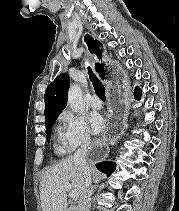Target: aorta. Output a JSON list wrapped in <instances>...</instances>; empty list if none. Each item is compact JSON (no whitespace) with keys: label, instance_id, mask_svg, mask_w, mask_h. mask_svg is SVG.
I'll return each instance as SVG.
<instances>
[{"label":"aorta","instance_id":"aorta-1","mask_svg":"<svg viewBox=\"0 0 179 211\" xmlns=\"http://www.w3.org/2000/svg\"><path fill=\"white\" fill-rule=\"evenodd\" d=\"M68 104L73 112H79L84 108L82 90L76 84L72 85L69 89Z\"/></svg>","mask_w":179,"mask_h":211}]
</instances>
